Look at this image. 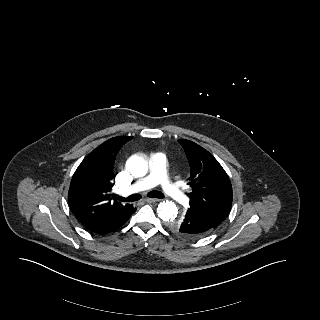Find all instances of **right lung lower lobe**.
Instances as JSON below:
<instances>
[{"instance_id": "98d812e1", "label": "right lung lower lobe", "mask_w": 320, "mask_h": 320, "mask_svg": "<svg viewBox=\"0 0 320 320\" xmlns=\"http://www.w3.org/2000/svg\"><path fill=\"white\" fill-rule=\"evenodd\" d=\"M135 211L136 208L131 205L127 211L119 213L112 217H108L90 227H87L86 229L91 233L101 235L116 231L129 220L130 216Z\"/></svg>"}]
</instances>
